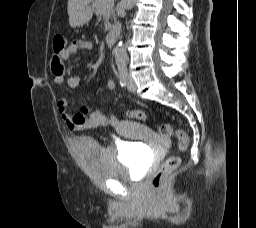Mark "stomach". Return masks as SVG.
<instances>
[{
	"label": "stomach",
	"mask_w": 256,
	"mask_h": 228,
	"mask_svg": "<svg viewBox=\"0 0 256 228\" xmlns=\"http://www.w3.org/2000/svg\"><path fill=\"white\" fill-rule=\"evenodd\" d=\"M92 15L93 11L91 7L89 5H85L69 16V23L74 28L81 27L90 21Z\"/></svg>",
	"instance_id": "0dacf381"
}]
</instances>
